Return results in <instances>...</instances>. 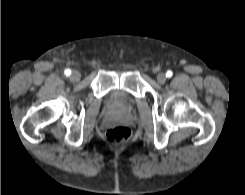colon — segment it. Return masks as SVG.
<instances>
[{"label":"colon","instance_id":"obj_1","mask_svg":"<svg viewBox=\"0 0 245 195\" xmlns=\"http://www.w3.org/2000/svg\"><path fill=\"white\" fill-rule=\"evenodd\" d=\"M132 132L125 126L110 128L107 133V139L114 144H123L131 138Z\"/></svg>","mask_w":245,"mask_h":195}]
</instances>
